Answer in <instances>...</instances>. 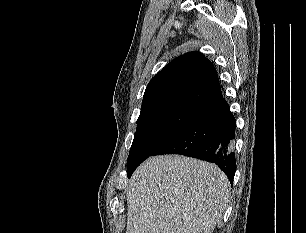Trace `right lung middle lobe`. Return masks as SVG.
<instances>
[{
  "instance_id": "1",
  "label": "right lung middle lobe",
  "mask_w": 306,
  "mask_h": 233,
  "mask_svg": "<svg viewBox=\"0 0 306 233\" xmlns=\"http://www.w3.org/2000/svg\"><path fill=\"white\" fill-rule=\"evenodd\" d=\"M203 108L184 100H163L142 106L128 156L127 174L132 173Z\"/></svg>"
}]
</instances>
